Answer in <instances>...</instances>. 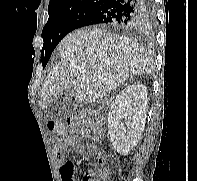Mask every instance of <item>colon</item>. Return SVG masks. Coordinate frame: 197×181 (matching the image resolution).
Returning a JSON list of instances; mask_svg holds the SVG:
<instances>
[{
  "label": "colon",
  "mask_w": 197,
  "mask_h": 181,
  "mask_svg": "<svg viewBox=\"0 0 197 181\" xmlns=\"http://www.w3.org/2000/svg\"><path fill=\"white\" fill-rule=\"evenodd\" d=\"M71 132L75 136H84L91 134L96 127V121L94 118L88 117L85 114H78L69 119L67 123ZM48 129L55 138L56 146L60 145V139L65 133V124L59 121H50L48 123ZM94 172L87 170L82 174L81 181H106L107 175L105 172H97L96 178H93Z\"/></svg>",
  "instance_id": "5ec220e1"
}]
</instances>
